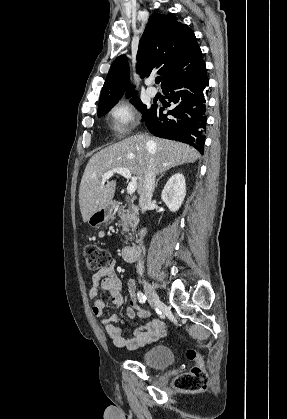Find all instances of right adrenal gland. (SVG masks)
Listing matches in <instances>:
<instances>
[{"label": "right adrenal gland", "instance_id": "1", "mask_svg": "<svg viewBox=\"0 0 287 419\" xmlns=\"http://www.w3.org/2000/svg\"><path fill=\"white\" fill-rule=\"evenodd\" d=\"M169 169H167V170H165V171H163L161 174H160V176H159V178L157 179V181H156V184H155V186L157 187L158 186V182H159V180L164 176V174L168 171Z\"/></svg>", "mask_w": 287, "mask_h": 419}]
</instances>
